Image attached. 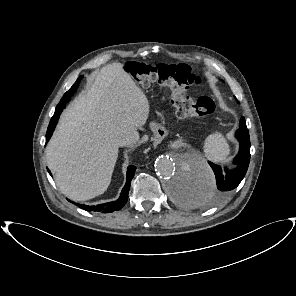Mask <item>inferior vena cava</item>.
<instances>
[{
  "label": "inferior vena cava",
  "mask_w": 296,
  "mask_h": 296,
  "mask_svg": "<svg viewBox=\"0 0 296 296\" xmlns=\"http://www.w3.org/2000/svg\"><path fill=\"white\" fill-rule=\"evenodd\" d=\"M118 145L119 146H126V145H131L134 143V139L132 136L130 135H126V136H123L121 138L118 139Z\"/></svg>",
  "instance_id": "obj_1"
}]
</instances>
